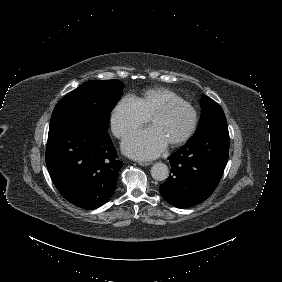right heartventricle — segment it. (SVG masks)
<instances>
[{"label":"right heart ventricle","mask_w":282,"mask_h":282,"mask_svg":"<svg viewBox=\"0 0 282 282\" xmlns=\"http://www.w3.org/2000/svg\"><path fill=\"white\" fill-rule=\"evenodd\" d=\"M134 99L139 108L148 118L155 110H157L163 100H181L179 96L165 88L149 89L141 96L135 97Z\"/></svg>","instance_id":"right-heart-ventricle-1"}]
</instances>
